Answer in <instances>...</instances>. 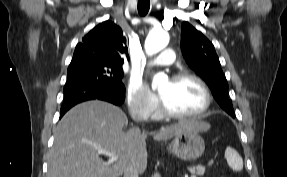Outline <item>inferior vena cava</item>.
Listing matches in <instances>:
<instances>
[{
    "label": "inferior vena cava",
    "instance_id": "inferior-vena-cava-1",
    "mask_svg": "<svg viewBox=\"0 0 287 177\" xmlns=\"http://www.w3.org/2000/svg\"><path fill=\"white\" fill-rule=\"evenodd\" d=\"M132 118L135 121H139V117L136 114H132ZM124 177H139V172L134 164H129L124 170Z\"/></svg>",
    "mask_w": 287,
    "mask_h": 177
}]
</instances>
